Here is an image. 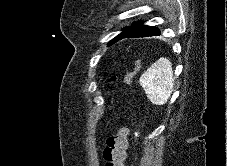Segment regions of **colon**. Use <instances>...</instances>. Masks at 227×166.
<instances>
[{"instance_id":"colon-1","label":"colon","mask_w":227,"mask_h":166,"mask_svg":"<svg viewBox=\"0 0 227 166\" xmlns=\"http://www.w3.org/2000/svg\"><path fill=\"white\" fill-rule=\"evenodd\" d=\"M139 68L140 64L137 62L135 67L124 76L123 82L129 83ZM115 80L116 78L113 76L110 78V81ZM103 157L105 166H125L127 157V132L124 128H121L107 139Z\"/></svg>"}]
</instances>
